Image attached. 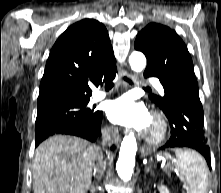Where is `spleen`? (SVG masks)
<instances>
[{
	"mask_svg": "<svg viewBox=\"0 0 221 193\" xmlns=\"http://www.w3.org/2000/svg\"><path fill=\"white\" fill-rule=\"evenodd\" d=\"M174 170L186 185L187 193H207L208 167L196 151L178 146L175 149Z\"/></svg>",
	"mask_w": 221,
	"mask_h": 193,
	"instance_id": "3e777b00",
	"label": "spleen"
}]
</instances>
